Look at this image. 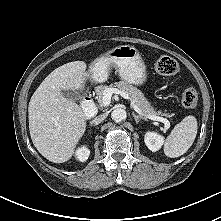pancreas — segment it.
Masks as SVG:
<instances>
[{
  "instance_id": "pancreas-1",
  "label": "pancreas",
  "mask_w": 221,
  "mask_h": 221,
  "mask_svg": "<svg viewBox=\"0 0 221 221\" xmlns=\"http://www.w3.org/2000/svg\"><path fill=\"white\" fill-rule=\"evenodd\" d=\"M109 88H117L120 91L127 93L132 99V101L135 103V105H137L142 110V112L147 115L162 114L161 112H156L154 110V108L149 104V102L145 98L144 94L137 87H134L124 81L115 82L110 85H100L95 88L98 103L100 106H104L102 101L103 93L106 89ZM163 115L169 116L168 114Z\"/></svg>"
}]
</instances>
